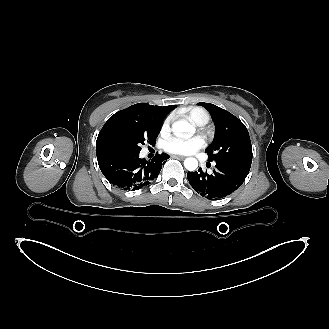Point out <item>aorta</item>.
Masks as SVG:
<instances>
[{"mask_svg":"<svg viewBox=\"0 0 329 329\" xmlns=\"http://www.w3.org/2000/svg\"><path fill=\"white\" fill-rule=\"evenodd\" d=\"M174 133L178 135H184L186 137H191L195 133V127L185 120H180L172 125ZM184 166L188 171H195L198 167L197 159L193 157L186 158L184 161Z\"/></svg>","mask_w":329,"mask_h":329,"instance_id":"aorta-1","label":"aorta"}]
</instances>
